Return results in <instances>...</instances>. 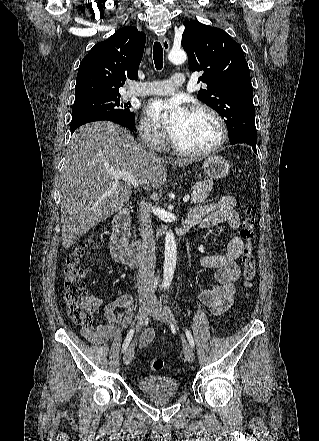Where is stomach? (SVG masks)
Listing matches in <instances>:
<instances>
[{"instance_id":"stomach-1","label":"stomach","mask_w":319,"mask_h":441,"mask_svg":"<svg viewBox=\"0 0 319 441\" xmlns=\"http://www.w3.org/2000/svg\"><path fill=\"white\" fill-rule=\"evenodd\" d=\"M203 169L207 176L212 179H219L225 177L230 170L227 160L218 156H211L205 159Z\"/></svg>"}]
</instances>
